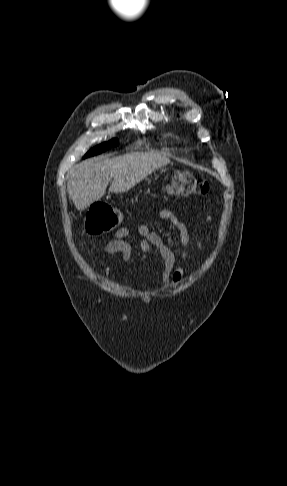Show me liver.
<instances>
[{
    "mask_svg": "<svg viewBox=\"0 0 287 486\" xmlns=\"http://www.w3.org/2000/svg\"><path fill=\"white\" fill-rule=\"evenodd\" d=\"M170 163L157 153L133 152L116 158L99 157L87 160L72 170L67 182L69 198L78 209H86L101 199L108 183L110 192L130 190L155 170Z\"/></svg>",
    "mask_w": 287,
    "mask_h": 486,
    "instance_id": "1",
    "label": "liver"
}]
</instances>
